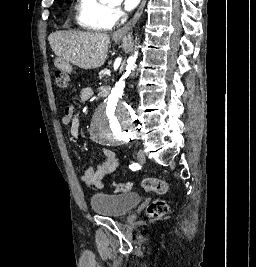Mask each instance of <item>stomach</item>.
Wrapping results in <instances>:
<instances>
[{
	"label": "stomach",
	"mask_w": 256,
	"mask_h": 267,
	"mask_svg": "<svg viewBox=\"0 0 256 267\" xmlns=\"http://www.w3.org/2000/svg\"><path fill=\"white\" fill-rule=\"evenodd\" d=\"M117 40H120L118 36ZM53 67H71V62H53Z\"/></svg>",
	"instance_id": "0dacf381"
}]
</instances>
